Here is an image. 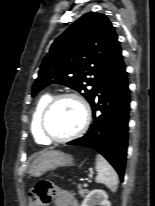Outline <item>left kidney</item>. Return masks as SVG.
<instances>
[{
	"mask_svg": "<svg viewBox=\"0 0 155 206\" xmlns=\"http://www.w3.org/2000/svg\"><path fill=\"white\" fill-rule=\"evenodd\" d=\"M81 206H111L105 191L100 189L92 190L85 197Z\"/></svg>",
	"mask_w": 155,
	"mask_h": 206,
	"instance_id": "obj_1",
	"label": "left kidney"
}]
</instances>
